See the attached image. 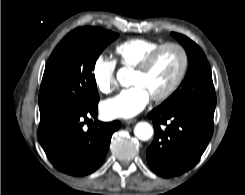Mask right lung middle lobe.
<instances>
[{
    "instance_id": "dd1d6c3e",
    "label": "right lung middle lobe",
    "mask_w": 245,
    "mask_h": 195,
    "mask_svg": "<svg viewBox=\"0 0 245 195\" xmlns=\"http://www.w3.org/2000/svg\"><path fill=\"white\" fill-rule=\"evenodd\" d=\"M119 35L97 27L71 31L57 45L45 67L40 93V117L87 109L98 103L96 60Z\"/></svg>"
}]
</instances>
